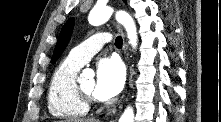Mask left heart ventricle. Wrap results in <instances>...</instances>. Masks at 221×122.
<instances>
[{
	"label": "left heart ventricle",
	"instance_id": "obj_1",
	"mask_svg": "<svg viewBox=\"0 0 221 122\" xmlns=\"http://www.w3.org/2000/svg\"><path fill=\"white\" fill-rule=\"evenodd\" d=\"M82 88L89 94L94 95L95 81L94 79H86L81 82Z\"/></svg>",
	"mask_w": 221,
	"mask_h": 122
}]
</instances>
